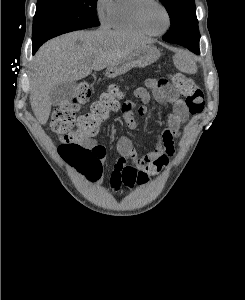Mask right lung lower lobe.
I'll use <instances>...</instances> for the list:
<instances>
[{"mask_svg":"<svg viewBox=\"0 0 245 300\" xmlns=\"http://www.w3.org/2000/svg\"><path fill=\"white\" fill-rule=\"evenodd\" d=\"M38 48H39V46H33V53L36 52Z\"/></svg>","mask_w":245,"mask_h":300,"instance_id":"98d812e1","label":"right lung lower lobe"}]
</instances>
